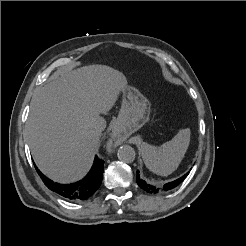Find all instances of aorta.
Here are the masks:
<instances>
[{
    "label": "aorta",
    "mask_w": 246,
    "mask_h": 246,
    "mask_svg": "<svg viewBox=\"0 0 246 246\" xmlns=\"http://www.w3.org/2000/svg\"><path fill=\"white\" fill-rule=\"evenodd\" d=\"M118 158L122 162L132 163L135 160V150L129 145H123L118 149Z\"/></svg>",
    "instance_id": "1"
}]
</instances>
